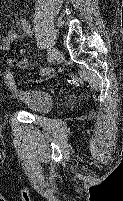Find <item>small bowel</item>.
<instances>
[{"mask_svg":"<svg viewBox=\"0 0 123 201\" xmlns=\"http://www.w3.org/2000/svg\"><path fill=\"white\" fill-rule=\"evenodd\" d=\"M24 30V29H23ZM25 33H28L26 30H24ZM18 34L15 30H10L6 34V37L4 38L3 42L0 44V53L7 50L9 46L17 39ZM26 58L23 57L21 60H15L12 58L7 59V64L10 66H16L19 68H24L26 66Z\"/></svg>","mask_w":123,"mask_h":201,"instance_id":"small-bowel-1","label":"small bowel"}]
</instances>
